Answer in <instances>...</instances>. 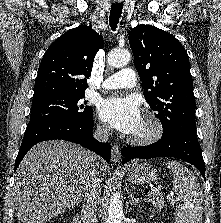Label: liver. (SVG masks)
Here are the masks:
<instances>
[{
    "instance_id": "liver-1",
    "label": "liver",
    "mask_w": 221,
    "mask_h": 223,
    "mask_svg": "<svg viewBox=\"0 0 221 223\" xmlns=\"http://www.w3.org/2000/svg\"><path fill=\"white\" fill-rule=\"evenodd\" d=\"M94 164L106 172L102 160L70 142L50 140L32 147L15 174L18 223H45L78 205Z\"/></svg>"
}]
</instances>
